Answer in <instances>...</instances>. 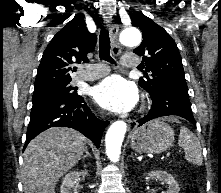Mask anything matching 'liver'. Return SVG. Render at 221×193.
Instances as JSON below:
<instances>
[{"mask_svg": "<svg viewBox=\"0 0 221 193\" xmlns=\"http://www.w3.org/2000/svg\"><path fill=\"white\" fill-rule=\"evenodd\" d=\"M86 140L71 128H49L34 138L23 155L24 193H54L59 179L81 159Z\"/></svg>", "mask_w": 221, "mask_h": 193, "instance_id": "1", "label": "liver"}]
</instances>
